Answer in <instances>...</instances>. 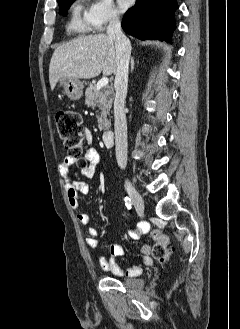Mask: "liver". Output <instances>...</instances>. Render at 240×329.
<instances>
[{
    "label": "liver",
    "mask_w": 240,
    "mask_h": 329,
    "mask_svg": "<svg viewBox=\"0 0 240 329\" xmlns=\"http://www.w3.org/2000/svg\"><path fill=\"white\" fill-rule=\"evenodd\" d=\"M116 46L106 34L82 36L55 49L49 65V82L54 90L61 77L91 79L101 72L115 73Z\"/></svg>",
    "instance_id": "obj_1"
}]
</instances>
